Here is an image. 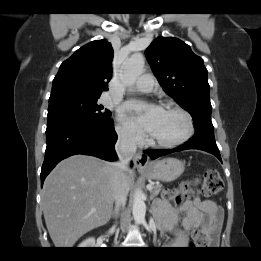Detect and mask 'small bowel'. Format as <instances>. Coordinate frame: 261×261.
Returning a JSON list of instances; mask_svg holds the SVG:
<instances>
[{"mask_svg":"<svg viewBox=\"0 0 261 261\" xmlns=\"http://www.w3.org/2000/svg\"><path fill=\"white\" fill-rule=\"evenodd\" d=\"M161 219L164 229L180 234L179 222L184 231L194 232L200 228L212 227V240L215 241L220 231L223 213L221 208L212 200H201L199 196L186 199L182 204L173 207L164 204L161 209ZM180 215L182 219L180 221Z\"/></svg>","mask_w":261,"mask_h":261,"instance_id":"obj_1","label":"small bowel"}]
</instances>
